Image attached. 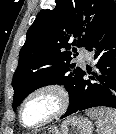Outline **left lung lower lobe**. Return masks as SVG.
<instances>
[{"label": "left lung lower lobe", "mask_w": 116, "mask_h": 134, "mask_svg": "<svg viewBox=\"0 0 116 134\" xmlns=\"http://www.w3.org/2000/svg\"><path fill=\"white\" fill-rule=\"evenodd\" d=\"M86 49H94L97 70H87L90 80L83 79L87 73L82 71L65 116L100 106L116 108V5Z\"/></svg>", "instance_id": "0a47b994"}]
</instances>
